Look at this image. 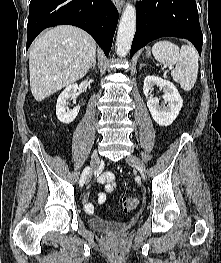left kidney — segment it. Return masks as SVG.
<instances>
[{"mask_svg":"<svg viewBox=\"0 0 221 263\" xmlns=\"http://www.w3.org/2000/svg\"><path fill=\"white\" fill-rule=\"evenodd\" d=\"M157 85L163 89L164 95L162 96L164 102L159 106V99L151 97L150 92L154 86ZM143 93L147 99V107L151 113L154 121L160 126H169L177 118L183 100L173 83L156 76H147L144 79ZM165 103L167 105L165 106Z\"/></svg>","mask_w":221,"mask_h":263,"instance_id":"5707ae66","label":"left kidney"}]
</instances>
